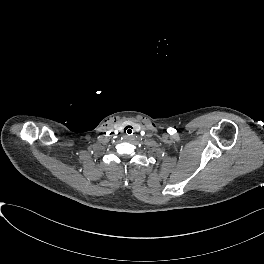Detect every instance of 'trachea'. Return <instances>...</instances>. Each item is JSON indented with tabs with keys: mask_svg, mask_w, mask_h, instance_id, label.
<instances>
[{
	"mask_svg": "<svg viewBox=\"0 0 264 264\" xmlns=\"http://www.w3.org/2000/svg\"><path fill=\"white\" fill-rule=\"evenodd\" d=\"M133 132H134V130H133V127H132V126H126V127L124 128V133H125L126 135H132Z\"/></svg>",
	"mask_w": 264,
	"mask_h": 264,
	"instance_id": "3493384b",
	"label": "trachea"
}]
</instances>
